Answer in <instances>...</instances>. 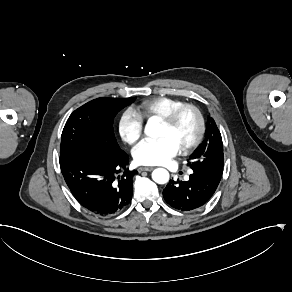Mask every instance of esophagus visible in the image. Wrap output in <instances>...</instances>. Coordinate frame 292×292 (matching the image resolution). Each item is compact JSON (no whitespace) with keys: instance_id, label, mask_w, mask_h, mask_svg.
<instances>
[{"instance_id":"1","label":"esophagus","mask_w":292,"mask_h":292,"mask_svg":"<svg viewBox=\"0 0 292 292\" xmlns=\"http://www.w3.org/2000/svg\"><path fill=\"white\" fill-rule=\"evenodd\" d=\"M154 169V167H139L138 168V172H142V171H152Z\"/></svg>"}]
</instances>
